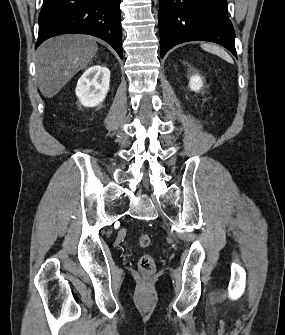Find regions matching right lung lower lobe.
Here are the masks:
<instances>
[{
    "instance_id": "obj_1",
    "label": "right lung lower lobe",
    "mask_w": 285,
    "mask_h": 335,
    "mask_svg": "<svg viewBox=\"0 0 285 335\" xmlns=\"http://www.w3.org/2000/svg\"><path fill=\"white\" fill-rule=\"evenodd\" d=\"M121 0H43L35 48L61 34H89L108 42L123 58Z\"/></svg>"
}]
</instances>
